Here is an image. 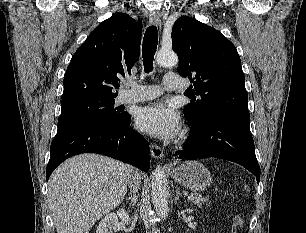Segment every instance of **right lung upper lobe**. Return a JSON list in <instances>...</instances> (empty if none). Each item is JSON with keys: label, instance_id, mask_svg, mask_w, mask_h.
<instances>
[{"label": "right lung upper lobe", "instance_id": "right-lung-upper-lobe-1", "mask_svg": "<svg viewBox=\"0 0 306 233\" xmlns=\"http://www.w3.org/2000/svg\"><path fill=\"white\" fill-rule=\"evenodd\" d=\"M142 21L125 13L104 20L75 52L63 81L62 103L84 98L115 99L120 76L140 55Z\"/></svg>", "mask_w": 306, "mask_h": 233}]
</instances>
